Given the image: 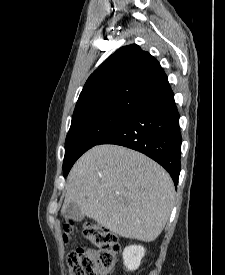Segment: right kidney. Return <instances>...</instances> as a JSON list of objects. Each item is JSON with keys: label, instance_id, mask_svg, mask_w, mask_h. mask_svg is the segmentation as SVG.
<instances>
[{"label": "right kidney", "instance_id": "1", "mask_svg": "<svg viewBox=\"0 0 225 275\" xmlns=\"http://www.w3.org/2000/svg\"><path fill=\"white\" fill-rule=\"evenodd\" d=\"M145 255V249L141 245L127 246L123 251V261L127 270L134 271L140 266Z\"/></svg>", "mask_w": 225, "mask_h": 275}]
</instances>
